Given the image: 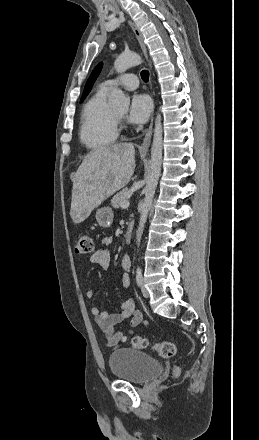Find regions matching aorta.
<instances>
[{
    "mask_svg": "<svg viewBox=\"0 0 259 440\" xmlns=\"http://www.w3.org/2000/svg\"><path fill=\"white\" fill-rule=\"evenodd\" d=\"M141 63H142V59L138 54L122 53L115 60L114 68L117 71V73H123L127 69L133 66L140 65ZM108 102L109 105L114 109L128 110L130 105V97L125 95L121 89L115 88L111 92ZM162 134H163V130L161 123V115L157 114L155 119L154 138L151 148L150 170L147 175L145 198L142 205L138 230L136 232V242L138 246L141 241V237L148 217V213L152 207L155 190L160 176L161 163H162V144H163Z\"/></svg>",
    "mask_w": 259,
    "mask_h": 440,
    "instance_id": "1",
    "label": "aorta"
}]
</instances>
